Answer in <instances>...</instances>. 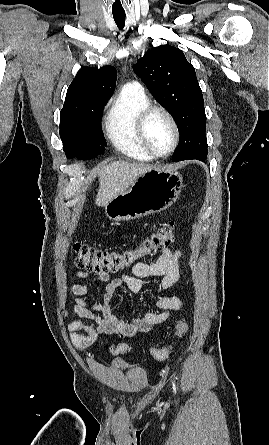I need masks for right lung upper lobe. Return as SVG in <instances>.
<instances>
[{"instance_id":"cb5924a9","label":"right lung upper lobe","mask_w":269,"mask_h":445,"mask_svg":"<svg viewBox=\"0 0 269 445\" xmlns=\"http://www.w3.org/2000/svg\"><path fill=\"white\" fill-rule=\"evenodd\" d=\"M116 84V70L112 66L100 69L82 67L67 90L63 107L107 102Z\"/></svg>"}]
</instances>
